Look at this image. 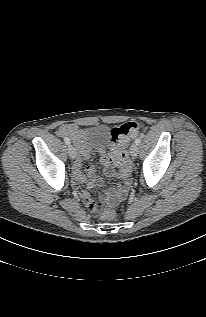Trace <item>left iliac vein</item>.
Instances as JSON below:
<instances>
[{"mask_svg": "<svg viewBox=\"0 0 206 317\" xmlns=\"http://www.w3.org/2000/svg\"><path fill=\"white\" fill-rule=\"evenodd\" d=\"M130 154L133 158H136L138 155V145L135 143L131 145L130 147Z\"/></svg>", "mask_w": 206, "mask_h": 317, "instance_id": "left-iliac-vein-1", "label": "left iliac vein"}]
</instances>
